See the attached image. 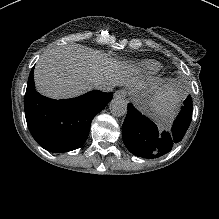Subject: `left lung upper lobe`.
<instances>
[{
    "instance_id": "5c2ea615",
    "label": "left lung upper lobe",
    "mask_w": 219,
    "mask_h": 219,
    "mask_svg": "<svg viewBox=\"0 0 219 219\" xmlns=\"http://www.w3.org/2000/svg\"><path fill=\"white\" fill-rule=\"evenodd\" d=\"M184 106L192 108V100L190 96H188L187 99L184 101Z\"/></svg>"
}]
</instances>
